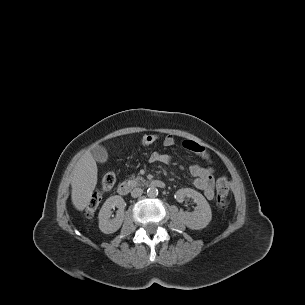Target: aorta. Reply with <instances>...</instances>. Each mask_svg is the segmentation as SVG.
<instances>
[{
    "label": "aorta",
    "mask_w": 305,
    "mask_h": 305,
    "mask_svg": "<svg viewBox=\"0 0 305 305\" xmlns=\"http://www.w3.org/2000/svg\"><path fill=\"white\" fill-rule=\"evenodd\" d=\"M158 195V189L154 186H150L148 189H147V196L150 197V198H155L157 197Z\"/></svg>",
    "instance_id": "762f6f07"
}]
</instances>
